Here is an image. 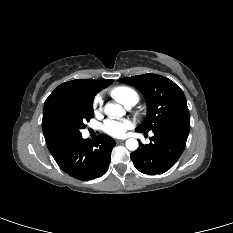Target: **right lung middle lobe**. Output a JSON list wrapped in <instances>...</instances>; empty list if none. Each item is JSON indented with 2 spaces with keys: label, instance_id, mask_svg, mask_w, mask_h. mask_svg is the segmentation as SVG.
<instances>
[{
  "label": "right lung middle lobe",
  "instance_id": "1",
  "mask_svg": "<svg viewBox=\"0 0 233 233\" xmlns=\"http://www.w3.org/2000/svg\"><path fill=\"white\" fill-rule=\"evenodd\" d=\"M92 96H78L58 106L50 115L45 132L49 149L81 136V129L94 117Z\"/></svg>",
  "mask_w": 233,
  "mask_h": 233
}]
</instances>
